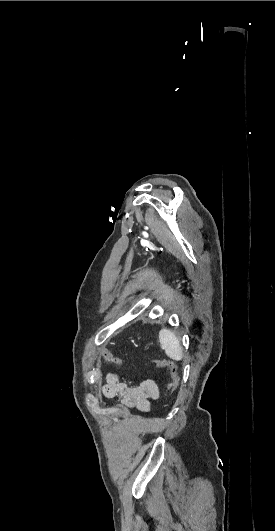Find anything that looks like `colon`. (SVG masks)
Wrapping results in <instances>:
<instances>
[{
  "mask_svg": "<svg viewBox=\"0 0 275 531\" xmlns=\"http://www.w3.org/2000/svg\"><path fill=\"white\" fill-rule=\"evenodd\" d=\"M101 357L107 363H110V364H113V365H120L121 364V359L119 357H117V353L113 349L103 350L101 352ZM155 366L157 368H159V369H166L169 372L170 376H171L172 381H171V383L168 386V395L165 397V400H163V403L170 402L172 400V397L170 395H172V393L174 392V390L178 386L177 368H176L175 364L172 361L168 360V359H159V360H157L155 362Z\"/></svg>",
  "mask_w": 275,
  "mask_h": 531,
  "instance_id": "colon-1",
  "label": "colon"
}]
</instances>
